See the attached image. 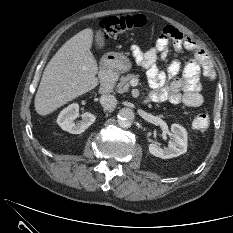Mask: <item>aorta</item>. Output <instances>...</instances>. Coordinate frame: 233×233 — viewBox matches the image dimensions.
<instances>
[{
    "instance_id": "aorta-1",
    "label": "aorta",
    "mask_w": 233,
    "mask_h": 233,
    "mask_svg": "<svg viewBox=\"0 0 233 233\" xmlns=\"http://www.w3.org/2000/svg\"><path fill=\"white\" fill-rule=\"evenodd\" d=\"M117 117L119 126L122 128H128L131 126L135 118V113L130 108H122L119 110Z\"/></svg>"
}]
</instances>
